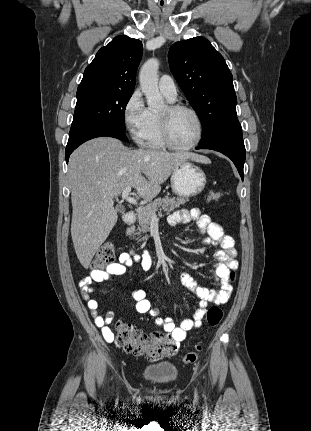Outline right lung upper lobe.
Segmentation results:
<instances>
[{
	"mask_svg": "<svg viewBox=\"0 0 311 431\" xmlns=\"http://www.w3.org/2000/svg\"><path fill=\"white\" fill-rule=\"evenodd\" d=\"M142 52L141 41L124 35L115 37L86 67L77 91L103 89L133 93Z\"/></svg>",
	"mask_w": 311,
	"mask_h": 431,
	"instance_id": "right-lung-upper-lobe-1",
	"label": "right lung upper lobe"
}]
</instances>
